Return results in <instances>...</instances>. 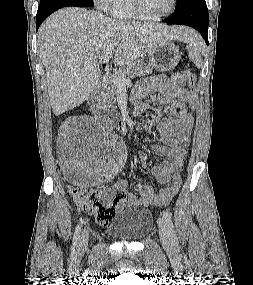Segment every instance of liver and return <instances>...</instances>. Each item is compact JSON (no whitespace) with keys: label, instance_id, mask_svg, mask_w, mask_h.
<instances>
[{"label":"liver","instance_id":"6515ba94","mask_svg":"<svg viewBox=\"0 0 253 285\" xmlns=\"http://www.w3.org/2000/svg\"><path fill=\"white\" fill-rule=\"evenodd\" d=\"M193 33L184 27L158 23L123 22L78 7L63 8L41 25L39 52L53 113L58 116L81 105L98 84L96 59L125 66L163 41H186ZM118 43L115 53L107 48Z\"/></svg>","mask_w":253,"mask_h":285}]
</instances>
